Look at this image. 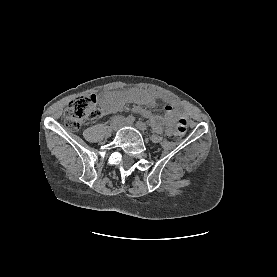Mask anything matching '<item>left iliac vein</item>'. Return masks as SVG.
Wrapping results in <instances>:
<instances>
[{
	"label": "left iliac vein",
	"instance_id": "4c4485c4",
	"mask_svg": "<svg viewBox=\"0 0 277 277\" xmlns=\"http://www.w3.org/2000/svg\"><path fill=\"white\" fill-rule=\"evenodd\" d=\"M126 124L131 126V124H130V123H126Z\"/></svg>",
	"mask_w": 277,
	"mask_h": 277
}]
</instances>
